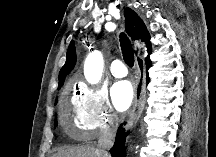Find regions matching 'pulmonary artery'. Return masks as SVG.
<instances>
[{
  "label": "pulmonary artery",
  "mask_w": 216,
  "mask_h": 157,
  "mask_svg": "<svg viewBox=\"0 0 216 157\" xmlns=\"http://www.w3.org/2000/svg\"><path fill=\"white\" fill-rule=\"evenodd\" d=\"M110 71L117 78H122L127 75V68L125 64L119 59L112 61L110 65Z\"/></svg>",
  "instance_id": "e3ab8cb5"
}]
</instances>
